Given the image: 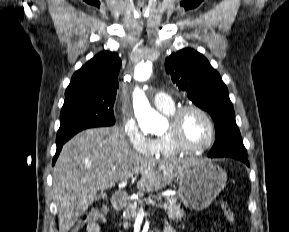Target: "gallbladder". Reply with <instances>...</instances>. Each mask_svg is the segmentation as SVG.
Returning a JSON list of instances; mask_svg holds the SVG:
<instances>
[{"label": "gallbladder", "instance_id": "gallbladder-1", "mask_svg": "<svg viewBox=\"0 0 289 232\" xmlns=\"http://www.w3.org/2000/svg\"><path fill=\"white\" fill-rule=\"evenodd\" d=\"M100 199H106V194L104 193H100V194H97L96 196V201H99Z\"/></svg>", "mask_w": 289, "mask_h": 232}]
</instances>
